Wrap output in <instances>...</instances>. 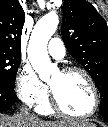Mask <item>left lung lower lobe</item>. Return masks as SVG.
<instances>
[{"label": "left lung lower lobe", "instance_id": "left-lung-lower-lobe-1", "mask_svg": "<svg viewBox=\"0 0 108 127\" xmlns=\"http://www.w3.org/2000/svg\"><path fill=\"white\" fill-rule=\"evenodd\" d=\"M102 116L108 121V114H102Z\"/></svg>", "mask_w": 108, "mask_h": 127}]
</instances>
